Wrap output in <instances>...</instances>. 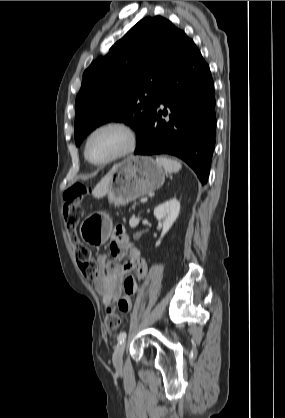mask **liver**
Masks as SVG:
<instances>
[{
    "instance_id": "liver-1",
    "label": "liver",
    "mask_w": 285,
    "mask_h": 418,
    "mask_svg": "<svg viewBox=\"0 0 285 418\" xmlns=\"http://www.w3.org/2000/svg\"><path fill=\"white\" fill-rule=\"evenodd\" d=\"M115 166L112 168V170L104 177L102 180L96 185V187L93 189L92 194L96 198H101L108 193L110 189V184L112 181V172L114 170Z\"/></svg>"
}]
</instances>
